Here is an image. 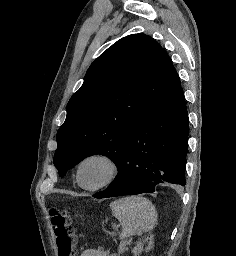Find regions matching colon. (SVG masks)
Returning <instances> with one entry per match:
<instances>
[{"instance_id":"colon-1","label":"colon","mask_w":236,"mask_h":256,"mask_svg":"<svg viewBox=\"0 0 236 256\" xmlns=\"http://www.w3.org/2000/svg\"><path fill=\"white\" fill-rule=\"evenodd\" d=\"M52 232L55 237L57 256H74L73 244L74 235L72 234L71 222L67 213L60 209L49 211Z\"/></svg>"}]
</instances>
